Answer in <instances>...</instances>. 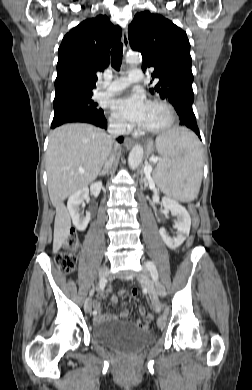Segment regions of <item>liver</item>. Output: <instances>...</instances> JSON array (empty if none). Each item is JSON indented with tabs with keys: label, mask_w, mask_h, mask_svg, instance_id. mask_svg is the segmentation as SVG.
I'll return each instance as SVG.
<instances>
[{
	"label": "liver",
	"mask_w": 252,
	"mask_h": 390,
	"mask_svg": "<svg viewBox=\"0 0 252 390\" xmlns=\"http://www.w3.org/2000/svg\"><path fill=\"white\" fill-rule=\"evenodd\" d=\"M112 145L111 136L89 124H67L51 133L46 170L50 200L56 208L54 253L70 236L71 218L63 201L97 178Z\"/></svg>",
	"instance_id": "6515ba94"
}]
</instances>
